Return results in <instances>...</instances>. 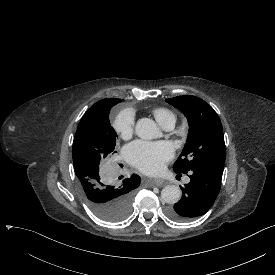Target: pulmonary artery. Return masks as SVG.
Returning a JSON list of instances; mask_svg holds the SVG:
<instances>
[{
  "label": "pulmonary artery",
  "mask_w": 275,
  "mask_h": 275,
  "mask_svg": "<svg viewBox=\"0 0 275 275\" xmlns=\"http://www.w3.org/2000/svg\"><path fill=\"white\" fill-rule=\"evenodd\" d=\"M162 128H163L164 130H167V131L172 130V129L174 128V122L165 123V124L162 125ZM183 181H184L185 183H189L190 179H189V177H185V178L183 179Z\"/></svg>",
  "instance_id": "e3ab8cb5"
}]
</instances>
